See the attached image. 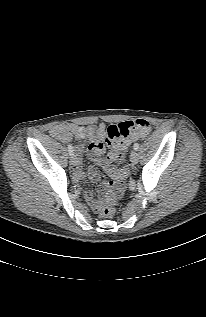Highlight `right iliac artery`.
Masks as SVG:
<instances>
[{
	"label": "right iliac artery",
	"instance_id": "obj_1",
	"mask_svg": "<svg viewBox=\"0 0 206 317\" xmlns=\"http://www.w3.org/2000/svg\"><path fill=\"white\" fill-rule=\"evenodd\" d=\"M68 152H69V155L72 156L73 155V147L71 144L68 145Z\"/></svg>",
	"mask_w": 206,
	"mask_h": 317
}]
</instances>
